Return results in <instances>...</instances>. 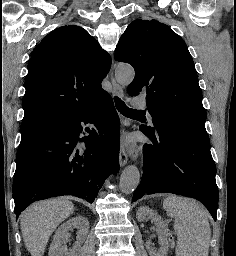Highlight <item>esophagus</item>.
I'll return each mask as SVG.
<instances>
[{
  "label": "esophagus",
  "mask_w": 236,
  "mask_h": 256,
  "mask_svg": "<svg viewBox=\"0 0 236 256\" xmlns=\"http://www.w3.org/2000/svg\"><path fill=\"white\" fill-rule=\"evenodd\" d=\"M111 83L113 87V94L116 96L123 97L124 96L123 89L117 83L113 74L111 76ZM122 125H123V129H122L121 146H120V152H119V163H120V166H125L128 161V155L125 149V126H127V124L125 123L124 120H122Z\"/></svg>",
  "instance_id": "1"
}]
</instances>
